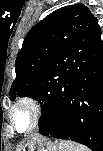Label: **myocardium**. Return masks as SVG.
Instances as JSON below:
<instances>
[{"instance_id":"myocardium-1","label":"myocardium","mask_w":103,"mask_h":151,"mask_svg":"<svg viewBox=\"0 0 103 151\" xmlns=\"http://www.w3.org/2000/svg\"><path fill=\"white\" fill-rule=\"evenodd\" d=\"M25 107L30 110L32 121L29 128L26 130H18L15 126L14 120H13V114L14 112L19 109ZM44 117V110L42 107L41 102L34 96L31 95H22L18 97L10 106L8 110V120L10 122V125L13 127V129L23 135L30 134L34 132L36 129L39 128L43 121Z\"/></svg>"}]
</instances>
